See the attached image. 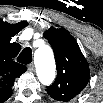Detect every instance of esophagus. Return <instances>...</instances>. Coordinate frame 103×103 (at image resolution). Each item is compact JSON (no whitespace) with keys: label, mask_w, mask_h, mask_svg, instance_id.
Segmentation results:
<instances>
[{"label":"esophagus","mask_w":103,"mask_h":103,"mask_svg":"<svg viewBox=\"0 0 103 103\" xmlns=\"http://www.w3.org/2000/svg\"><path fill=\"white\" fill-rule=\"evenodd\" d=\"M28 70H29L30 72H33V71L35 70V66H34L33 63H31V64L28 65Z\"/></svg>","instance_id":"1"}]
</instances>
